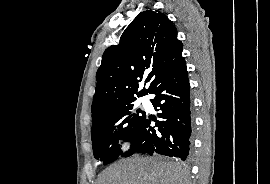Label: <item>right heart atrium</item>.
Returning <instances> with one entry per match:
<instances>
[{
	"instance_id": "right-heart-atrium-1",
	"label": "right heart atrium",
	"mask_w": 270,
	"mask_h": 184,
	"mask_svg": "<svg viewBox=\"0 0 270 184\" xmlns=\"http://www.w3.org/2000/svg\"><path fill=\"white\" fill-rule=\"evenodd\" d=\"M117 146L120 150H127L129 143L125 139H120L117 143Z\"/></svg>"
}]
</instances>
